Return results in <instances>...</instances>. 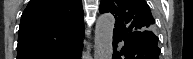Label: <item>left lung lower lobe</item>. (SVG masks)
I'll return each instance as SVG.
<instances>
[{
    "instance_id": "obj_1",
    "label": "left lung lower lobe",
    "mask_w": 193,
    "mask_h": 59,
    "mask_svg": "<svg viewBox=\"0 0 193 59\" xmlns=\"http://www.w3.org/2000/svg\"><path fill=\"white\" fill-rule=\"evenodd\" d=\"M119 41H124L125 46L121 52H114L113 59H121L120 55L126 56L125 59H159L160 49L157 46L158 38L153 33L141 36L134 33L126 36L114 33V50L116 49V43Z\"/></svg>"
}]
</instances>
